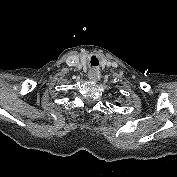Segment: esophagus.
Listing matches in <instances>:
<instances>
[{
	"label": "esophagus",
	"instance_id": "34e87169",
	"mask_svg": "<svg viewBox=\"0 0 177 177\" xmlns=\"http://www.w3.org/2000/svg\"><path fill=\"white\" fill-rule=\"evenodd\" d=\"M88 78L91 81L97 82L100 79V72L96 68H92L88 74Z\"/></svg>",
	"mask_w": 177,
	"mask_h": 177
}]
</instances>
